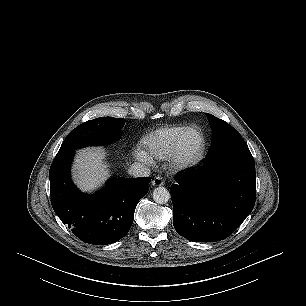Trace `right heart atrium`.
<instances>
[{
    "instance_id": "d8ad5b80",
    "label": "right heart atrium",
    "mask_w": 306,
    "mask_h": 306,
    "mask_svg": "<svg viewBox=\"0 0 306 306\" xmlns=\"http://www.w3.org/2000/svg\"><path fill=\"white\" fill-rule=\"evenodd\" d=\"M135 156L139 161H141L143 163L152 164V162H153L152 158L143 150H140V149L136 150L135 151Z\"/></svg>"
}]
</instances>
